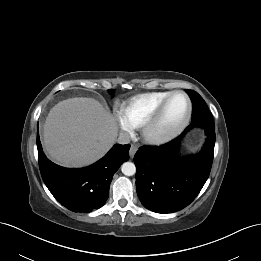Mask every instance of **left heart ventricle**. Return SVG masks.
<instances>
[{
  "label": "left heart ventricle",
  "mask_w": 261,
  "mask_h": 261,
  "mask_svg": "<svg viewBox=\"0 0 261 261\" xmlns=\"http://www.w3.org/2000/svg\"><path fill=\"white\" fill-rule=\"evenodd\" d=\"M187 114V101L182 95H175L169 102L158 131L165 133L176 128L185 118Z\"/></svg>",
  "instance_id": "obj_1"
}]
</instances>
